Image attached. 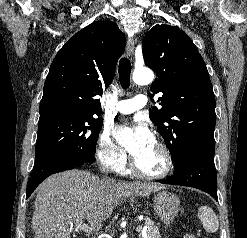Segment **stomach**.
<instances>
[{
	"label": "stomach",
	"mask_w": 247,
	"mask_h": 238,
	"mask_svg": "<svg viewBox=\"0 0 247 238\" xmlns=\"http://www.w3.org/2000/svg\"><path fill=\"white\" fill-rule=\"evenodd\" d=\"M179 207V198L170 192L161 191L154 197L155 212L165 225H169L175 219Z\"/></svg>",
	"instance_id": "stomach-1"
}]
</instances>
